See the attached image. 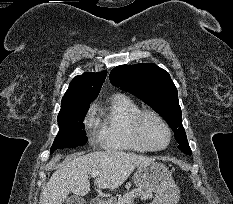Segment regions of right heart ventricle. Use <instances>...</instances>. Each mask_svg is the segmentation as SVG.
<instances>
[{"mask_svg":"<svg viewBox=\"0 0 233 204\" xmlns=\"http://www.w3.org/2000/svg\"><path fill=\"white\" fill-rule=\"evenodd\" d=\"M131 98L117 94L108 104L97 109L96 124L101 145L108 150L145 152L135 140L131 122L141 111Z\"/></svg>","mask_w":233,"mask_h":204,"instance_id":"e07e8e85","label":"right heart ventricle"}]
</instances>
